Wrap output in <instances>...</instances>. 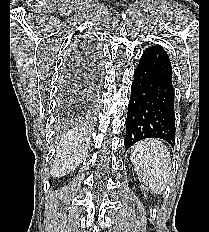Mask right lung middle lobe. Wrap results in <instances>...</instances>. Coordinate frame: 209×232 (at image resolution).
<instances>
[{"mask_svg":"<svg viewBox=\"0 0 209 232\" xmlns=\"http://www.w3.org/2000/svg\"><path fill=\"white\" fill-rule=\"evenodd\" d=\"M74 82V81H73ZM70 83V84H69ZM72 77L64 84L59 97V128L67 129L79 125L85 115L78 107V98L72 95Z\"/></svg>","mask_w":209,"mask_h":232,"instance_id":"1","label":"right lung middle lobe"}]
</instances>
